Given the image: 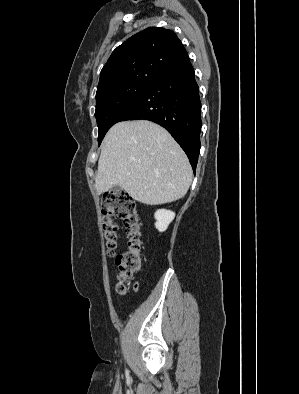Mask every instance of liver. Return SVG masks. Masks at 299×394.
Masks as SVG:
<instances>
[{
  "instance_id": "6515ba94",
  "label": "liver",
  "mask_w": 299,
  "mask_h": 394,
  "mask_svg": "<svg viewBox=\"0 0 299 394\" xmlns=\"http://www.w3.org/2000/svg\"><path fill=\"white\" fill-rule=\"evenodd\" d=\"M192 182L189 160L163 127L147 121H123L107 132L95 177L98 194L121 186L149 205L176 201Z\"/></svg>"
}]
</instances>
